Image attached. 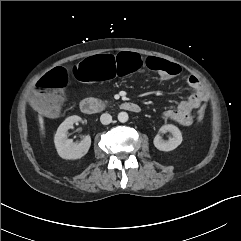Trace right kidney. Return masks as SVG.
Returning a JSON list of instances; mask_svg holds the SVG:
<instances>
[{
  "label": "right kidney",
  "mask_w": 241,
  "mask_h": 241,
  "mask_svg": "<svg viewBox=\"0 0 241 241\" xmlns=\"http://www.w3.org/2000/svg\"><path fill=\"white\" fill-rule=\"evenodd\" d=\"M81 121L79 116H70L58 127L54 137L55 147L59 156L66 160L80 159L87 154L91 146L90 136H85L80 143L67 138V131L74 123Z\"/></svg>",
  "instance_id": "obj_1"
}]
</instances>
